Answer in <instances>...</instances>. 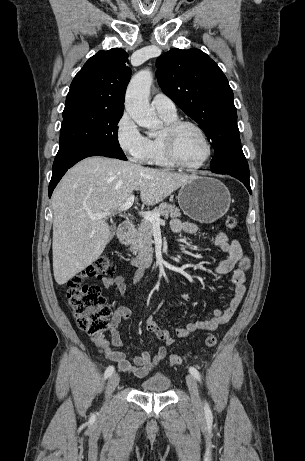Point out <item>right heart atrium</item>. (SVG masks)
Returning a JSON list of instances; mask_svg holds the SVG:
<instances>
[{
	"mask_svg": "<svg viewBox=\"0 0 305 461\" xmlns=\"http://www.w3.org/2000/svg\"><path fill=\"white\" fill-rule=\"evenodd\" d=\"M116 141L120 149L133 162H143L147 138L140 132L133 118L129 113L124 112L116 124Z\"/></svg>",
	"mask_w": 305,
	"mask_h": 461,
	"instance_id": "d8ad5b80",
	"label": "right heart atrium"
}]
</instances>
